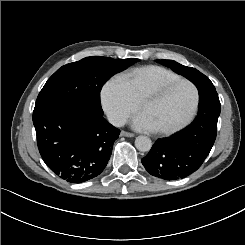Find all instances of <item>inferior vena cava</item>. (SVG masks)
Listing matches in <instances>:
<instances>
[{
    "label": "inferior vena cava",
    "instance_id": "obj_1",
    "mask_svg": "<svg viewBox=\"0 0 245 245\" xmlns=\"http://www.w3.org/2000/svg\"><path fill=\"white\" fill-rule=\"evenodd\" d=\"M108 120L112 125L116 127H123L127 123V118L124 115L116 114V113L109 114Z\"/></svg>",
    "mask_w": 245,
    "mask_h": 245
}]
</instances>
